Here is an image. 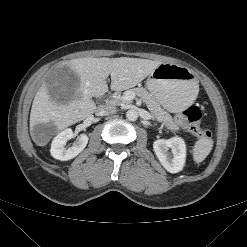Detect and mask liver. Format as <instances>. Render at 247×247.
<instances>
[{
    "instance_id": "6515ba94",
    "label": "liver",
    "mask_w": 247,
    "mask_h": 247,
    "mask_svg": "<svg viewBox=\"0 0 247 247\" xmlns=\"http://www.w3.org/2000/svg\"><path fill=\"white\" fill-rule=\"evenodd\" d=\"M161 62L140 58H77L66 61L79 78L75 97L65 103H58L43 84L36 93L30 112V128L38 124H53L61 131L92 115L96 104L92 97H99L108 91L106 79L110 75L113 91L132 88L144 80ZM37 144H41L36 141Z\"/></svg>"
}]
</instances>
